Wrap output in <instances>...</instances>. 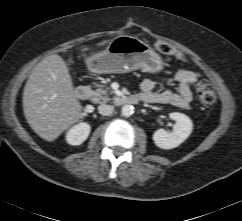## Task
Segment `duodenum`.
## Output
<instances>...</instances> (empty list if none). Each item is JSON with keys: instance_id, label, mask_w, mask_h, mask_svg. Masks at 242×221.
<instances>
[{"instance_id": "duodenum-1", "label": "duodenum", "mask_w": 242, "mask_h": 221, "mask_svg": "<svg viewBox=\"0 0 242 221\" xmlns=\"http://www.w3.org/2000/svg\"><path fill=\"white\" fill-rule=\"evenodd\" d=\"M76 97L81 101H87L91 97V91L85 86L77 87L75 91ZM141 96H123L117 99L118 105H134L142 101Z\"/></svg>"}]
</instances>
